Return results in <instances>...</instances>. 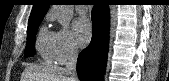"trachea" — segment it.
<instances>
[{"label":"trachea","mask_w":169,"mask_h":81,"mask_svg":"<svg viewBox=\"0 0 169 81\" xmlns=\"http://www.w3.org/2000/svg\"><path fill=\"white\" fill-rule=\"evenodd\" d=\"M82 3H84V4H82V5H89V1L87 2H82Z\"/></svg>","instance_id":"1"}]
</instances>
